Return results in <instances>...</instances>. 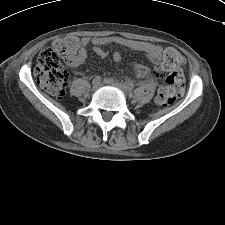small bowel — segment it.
I'll return each mask as SVG.
<instances>
[{
    "label": "small bowel",
    "mask_w": 225,
    "mask_h": 225,
    "mask_svg": "<svg viewBox=\"0 0 225 225\" xmlns=\"http://www.w3.org/2000/svg\"><path fill=\"white\" fill-rule=\"evenodd\" d=\"M90 42H92L95 45L94 52L98 57L105 58L107 56V52L101 46L104 44L110 43L111 40L109 38L90 39L88 37H84L81 39L80 49L78 51L75 61L72 64H70L72 68L78 67L85 62L87 58V46L90 44ZM138 51L143 52L148 57L149 61L152 64L159 63L160 56H161V48L158 45L145 43L138 48ZM121 59H122V56L118 51L113 53V60L116 63H119ZM135 71L137 76L139 77H144L148 73L146 66L142 64H137L135 66Z\"/></svg>",
    "instance_id": "1"
}]
</instances>
